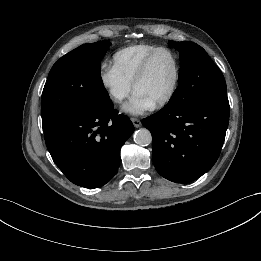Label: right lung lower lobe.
Returning <instances> with one entry per match:
<instances>
[{"label": "right lung lower lobe", "instance_id": "obj_1", "mask_svg": "<svg viewBox=\"0 0 261 261\" xmlns=\"http://www.w3.org/2000/svg\"><path fill=\"white\" fill-rule=\"evenodd\" d=\"M132 133V122L110 103L58 124L44 137L53 161L72 183L98 188L116 175L120 149Z\"/></svg>", "mask_w": 261, "mask_h": 261}]
</instances>
